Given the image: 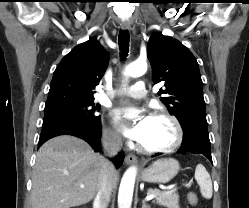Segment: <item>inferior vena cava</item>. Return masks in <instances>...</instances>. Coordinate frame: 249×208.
Returning <instances> with one entry per match:
<instances>
[{
  "label": "inferior vena cava",
  "mask_w": 249,
  "mask_h": 208,
  "mask_svg": "<svg viewBox=\"0 0 249 208\" xmlns=\"http://www.w3.org/2000/svg\"><path fill=\"white\" fill-rule=\"evenodd\" d=\"M103 149L108 157H114L122 147V137L117 132H110L103 136ZM115 167L108 159H105L99 189L93 202V208H107L112 192V175Z\"/></svg>",
  "instance_id": "inferior-vena-cava-1"
}]
</instances>
